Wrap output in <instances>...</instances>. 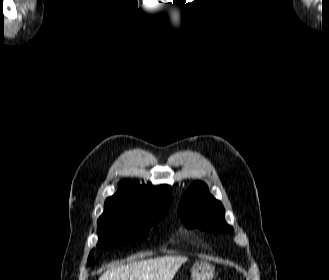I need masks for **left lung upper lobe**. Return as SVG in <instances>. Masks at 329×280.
Here are the masks:
<instances>
[{
  "mask_svg": "<svg viewBox=\"0 0 329 280\" xmlns=\"http://www.w3.org/2000/svg\"><path fill=\"white\" fill-rule=\"evenodd\" d=\"M224 215L221 202L208 193L203 182H194L180 199L179 217L188 228L232 233L233 228L226 223Z\"/></svg>",
  "mask_w": 329,
  "mask_h": 280,
  "instance_id": "5c2ea615",
  "label": "left lung upper lobe"
}]
</instances>
